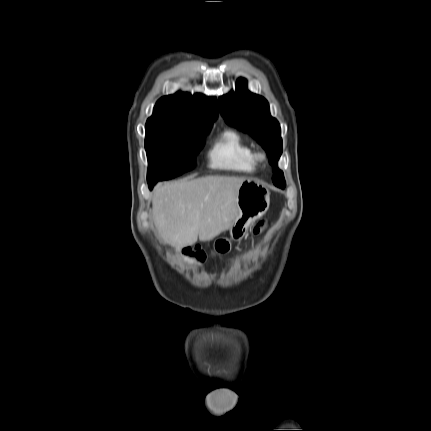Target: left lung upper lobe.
Wrapping results in <instances>:
<instances>
[{"instance_id":"1","label":"left lung upper lobe","mask_w":431,"mask_h":431,"mask_svg":"<svg viewBox=\"0 0 431 431\" xmlns=\"http://www.w3.org/2000/svg\"><path fill=\"white\" fill-rule=\"evenodd\" d=\"M246 83L245 79L239 78L236 91L219 99L220 113L228 124L251 134L265 149L275 173L273 183L283 189V172L277 168V161L282 154L279 123L271 117L266 99L249 92Z\"/></svg>"}]
</instances>
